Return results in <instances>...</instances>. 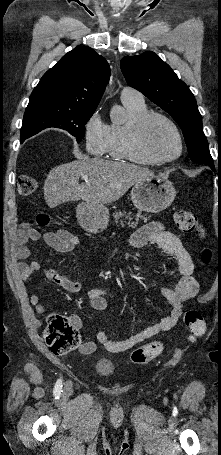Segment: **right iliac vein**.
I'll return each mask as SVG.
<instances>
[{"mask_svg":"<svg viewBox=\"0 0 221 455\" xmlns=\"http://www.w3.org/2000/svg\"><path fill=\"white\" fill-rule=\"evenodd\" d=\"M71 390H72V385H71V383H67V384L65 385V394L71 392Z\"/></svg>","mask_w":221,"mask_h":455,"instance_id":"63e3f726","label":"right iliac vein"}]
</instances>
